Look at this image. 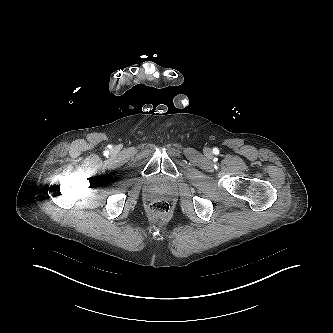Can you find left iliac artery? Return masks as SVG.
Returning <instances> with one entry per match:
<instances>
[{
	"label": "left iliac artery",
	"mask_w": 333,
	"mask_h": 333,
	"mask_svg": "<svg viewBox=\"0 0 333 333\" xmlns=\"http://www.w3.org/2000/svg\"><path fill=\"white\" fill-rule=\"evenodd\" d=\"M213 152H214L215 154H217V153L219 152V150H218L217 148H214V149H213Z\"/></svg>",
	"instance_id": "left-iliac-artery-1"
}]
</instances>
